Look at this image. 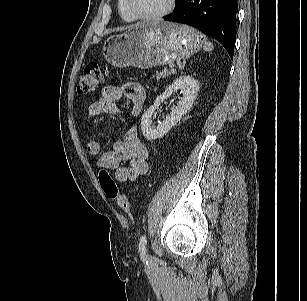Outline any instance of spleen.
<instances>
[{
  "mask_svg": "<svg viewBox=\"0 0 307 301\" xmlns=\"http://www.w3.org/2000/svg\"><path fill=\"white\" fill-rule=\"evenodd\" d=\"M213 44L211 42H208V41H204V46H203V49L205 51H212L213 50Z\"/></svg>",
  "mask_w": 307,
  "mask_h": 301,
  "instance_id": "3e777b00",
  "label": "spleen"
}]
</instances>
